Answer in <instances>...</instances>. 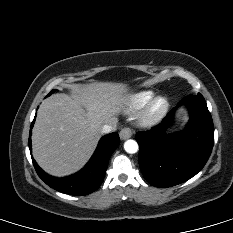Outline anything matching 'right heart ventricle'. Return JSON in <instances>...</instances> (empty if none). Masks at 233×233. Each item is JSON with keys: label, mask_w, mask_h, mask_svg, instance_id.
<instances>
[{"label": "right heart ventricle", "mask_w": 233, "mask_h": 233, "mask_svg": "<svg viewBox=\"0 0 233 233\" xmlns=\"http://www.w3.org/2000/svg\"><path fill=\"white\" fill-rule=\"evenodd\" d=\"M155 96V93L150 90L138 91L130 94L124 101V109L128 113L137 112Z\"/></svg>", "instance_id": "right-heart-ventricle-1"}]
</instances>
